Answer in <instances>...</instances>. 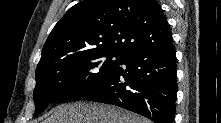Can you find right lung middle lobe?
Listing matches in <instances>:
<instances>
[{
  "instance_id": "dd1d6c3e",
  "label": "right lung middle lobe",
  "mask_w": 221,
  "mask_h": 123,
  "mask_svg": "<svg viewBox=\"0 0 221 123\" xmlns=\"http://www.w3.org/2000/svg\"><path fill=\"white\" fill-rule=\"evenodd\" d=\"M126 54L93 50L57 58L36 69L35 115L52 101L78 100L95 84L103 82Z\"/></svg>"
}]
</instances>
